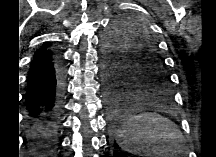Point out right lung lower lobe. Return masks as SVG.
I'll use <instances>...</instances> for the list:
<instances>
[{"instance_id":"98d812e1","label":"right lung lower lobe","mask_w":216,"mask_h":157,"mask_svg":"<svg viewBox=\"0 0 216 157\" xmlns=\"http://www.w3.org/2000/svg\"><path fill=\"white\" fill-rule=\"evenodd\" d=\"M60 75L50 50L33 58L25 94L27 139L33 157H52L57 147L62 94Z\"/></svg>"}]
</instances>
